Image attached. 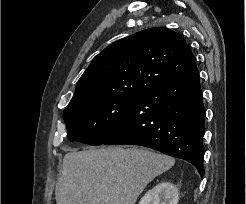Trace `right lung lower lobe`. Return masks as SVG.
I'll return each instance as SVG.
<instances>
[{"label": "right lung lower lobe", "instance_id": "1", "mask_svg": "<svg viewBox=\"0 0 246 204\" xmlns=\"http://www.w3.org/2000/svg\"><path fill=\"white\" fill-rule=\"evenodd\" d=\"M205 109L194 63L140 94L105 145L149 147L192 163L204 175Z\"/></svg>", "mask_w": 246, "mask_h": 204}]
</instances>
